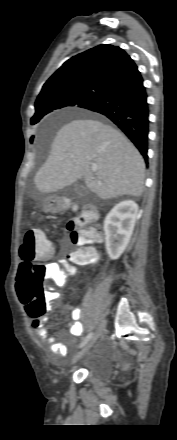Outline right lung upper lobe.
I'll list each match as a JSON object with an SVG mask.
<instances>
[{
	"instance_id": "1",
	"label": "right lung upper lobe",
	"mask_w": 177,
	"mask_h": 440,
	"mask_svg": "<svg viewBox=\"0 0 177 440\" xmlns=\"http://www.w3.org/2000/svg\"><path fill=\"white\" fill-rule=\"evenodd\" d=\"M139 74L123 49L102 44L67 60L44 84L35 105L64 92L104 96Z\"/></svg>"
}]
</instances>
